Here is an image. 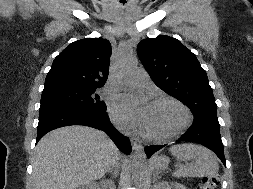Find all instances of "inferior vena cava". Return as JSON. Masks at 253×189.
I'll return each mask as SVG.
<instances>
[{
	"label": "inferior vena cava",
	"instance_id": "inferior-vena-cava-1",
	"mask_svg": "<svg viewBox=\"0 0 253 189\" xmlns=\"http://www.w3.org/2000/svg\"><path fill=\"white\" fill-rule=\"evenodd\" d=\"M114 156L116 157V160L114 162L115 165L112 167V169H114V171H118V167L126 163V158L121 149H116L114 151Z\"/></svg>",
	"mask_w": 253,
	"mask_h": 189
}]
</instances>
